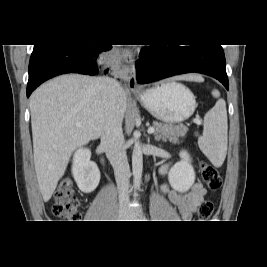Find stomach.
I'll return each instance as SVG.
<instances>
[{
  "label": "stomach",
  "mask_w": 267,
  "mask_h": 267,
  "mask_svg": "<svg viewBox=\"0 0 267 267\" xmlns=\"http://www.w3.org/2000/svg\"><path fill=\"white\" fill-rule=\"evenodd\" d=\"M137 98L156 119L169 124L188 119L196 109L193 93L175 81H164Z\"/></svg>",
  "instance_id": "stomach-1"
}]
</instances>
